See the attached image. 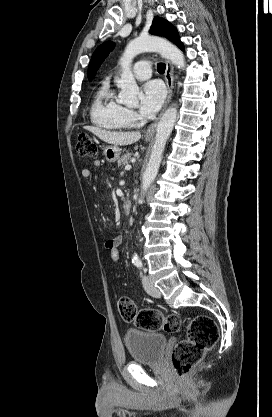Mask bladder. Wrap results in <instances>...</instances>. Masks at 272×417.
Instances as JSON below:
<instances>
[{"label":"bladder","mask_w":272,"mask_h":417,"mask_svg":"<svg viewBox=\"0 0 272 417\" xmlns=\"http://www.w3.org/2000/svg\"><path fill=\"white\" fill-rule=\"evenodd\" d=\"M124 342L135 363L158 364L163 358L167 337L161 333L130 329Z\"/></svg>","instance_id":"1"}]
</instances>
